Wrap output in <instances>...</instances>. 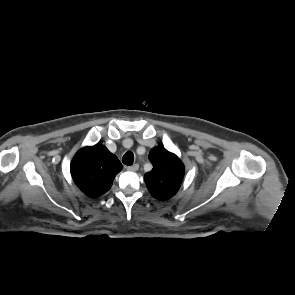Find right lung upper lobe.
Returning <instances> with one entry per match:
<instances>
[{
	"label": "right lung upper lobe",
	"mask_w": 295,
	"mask_h": 295,
	"mask_svg": "<svg viewBox=\"0 0 295 295\" xmlns=\"http://www.w3.org/2000/svg\"><path fill=\"white\" fill-rule=\"evenodd\" d=\"M121 169L118 158L102 144L80 149L70 165L74 182L92 198L107 192Z\"/></svg>",
	"instance_id": "1"
}]
</instances>
